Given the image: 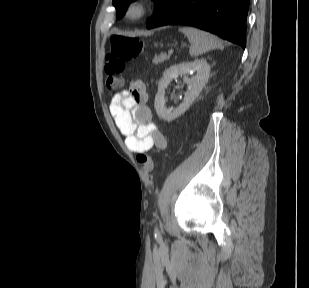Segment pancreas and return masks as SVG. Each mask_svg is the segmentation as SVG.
Returning a JSON list of instances; mask_svg holds the SVG:
<instances>
[{"instance_id": "1", "label": "pancreas", "mask_w": 309, "mask_h": 288, "mask_svg": "<svg viewBox=\"0 0 309 288\" xmlns=\"http://www.w3.org/2000/svg\"><path fill=\"white\" fill-rule=\"evenodd\" d=\"M169 59V56H167L165 53H162L160 55H156L153 59V63L154 64H161L163 63L164 61L168 60Z\"/></svg>"}]
</instances>
